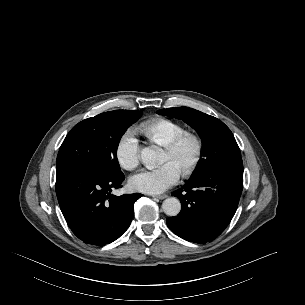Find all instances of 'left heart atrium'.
<instances>
[{"label":"left heart atrium","instance_id":"1","mask_svg":"<svg viewBox=\"0 0 305 305\" xmlns=\"http://www.w3.org/2000/svg\"><path fill=\"white\" fill-rule=\"evenodd\" d=\"M181 171L172 163L144 170L130 179L133 190L149 194L162 193L178 183Z\"/></svg>","mask_w":305,"mask_h":305}]
</instances>
